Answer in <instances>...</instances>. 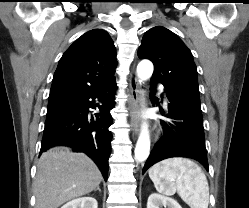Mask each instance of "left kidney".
Instances as JSON below:
<instances>
[{"label":"left kidney","mask_w":249,"mask_h":208,"mask_svg":"<svg viewBox=\"0 0 249 208\" xmlns=\"http://www.w3.org/2000/svg\"><path fill=\"white\" fill-rule=\"evenodd\" d=\"M182 208L177 201L170 197L152 193L147 201V208Z\"/></svg>","instance_id":"1"}]
</instances>
